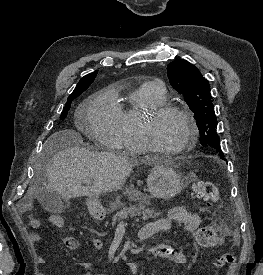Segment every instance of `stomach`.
I'll list each match as a JSON object with an SVG mask.
<instances>
[{"instance_id": "stomach-1", "label": "stomach", "mask_w": 263, "mask_h": 275, "mask_svg": "<svg viewBox=\"0 0 263 275\" xmlns=\"http://www.w3.org/2000/svg\"><path fill=\"white\" fill-rule=\"evenodd\" d=\"M150 194L156 198L169 199L176 196L183 188L181 174L168 165H158L147 178ZM88 208L92 214H104L99 202L90 201Z\"/></svg>"}]
</instances>
